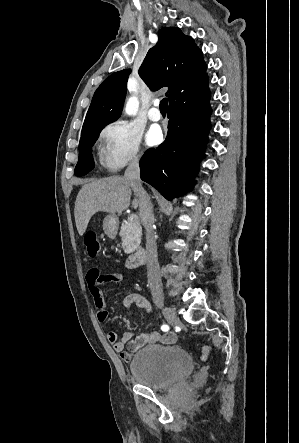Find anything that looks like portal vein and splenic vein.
<instances>
[{
	"mask_svg": "<svg viewBox=\"0 0 299 443\" xmlns=\"http://www.w3.org/2000/svg\"><path fill=\"white\" fill-rule=\"evenodd\" d=\"M128 220H129L130 222L136 221V220H137V216L133 214V215H131V216L128 218Z\"/></svg>",
	"mask_w": 299,
	"mask_h": 443,
	"instance_id": "18ae733b",
	"label": "portal vein and splenic vein"
}]
</instances>
